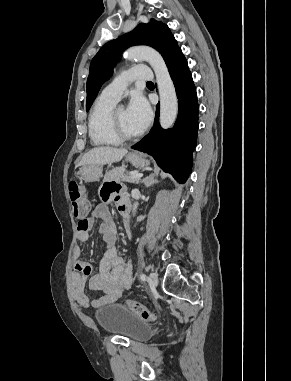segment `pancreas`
<instances>
[{"instance_id": "cf45deb5", "label": "pancreas", "mask_w": 291, "mask_h": 381, "mask_svg": "<svg viewBox=\"0 0 291 381\" xmlns=\"http://www.w3.org/2000/svg\"><path fill=\"white\" fill-rule=\"evenodd\" d=\"M127 176L128 175L125 174V169L123 167H116L105 173L104 181H117V182L125 181L130 183L139 182V179H130V178H127Z\"/></svg>"}]
</instances>
